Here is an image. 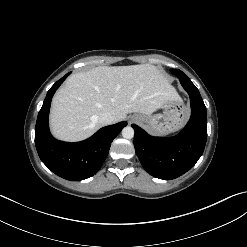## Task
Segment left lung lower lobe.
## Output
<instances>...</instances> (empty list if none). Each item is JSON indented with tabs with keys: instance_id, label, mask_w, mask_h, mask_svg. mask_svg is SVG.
<instances>
[{
	"instance_id": "obj_1",
	"label": "left lung lower lobe",
	"mask_w": 247,
	"mask_h": 247,
	"mask_svg": "<svg viewBox=\"0 0 247 247\" xmlns=\"http://www.w3.org/2000/svg\"><path fill=\"white\" fill-rule=\"evenodd\" d=\"M190 96L192 114L186 127L171 138L153 137L133 124L134 147L144 169L152 176L170 180L191 169L201 157L207 139L206 107L191 80L175 74Z\"/></svg>"
}]
</instances>
